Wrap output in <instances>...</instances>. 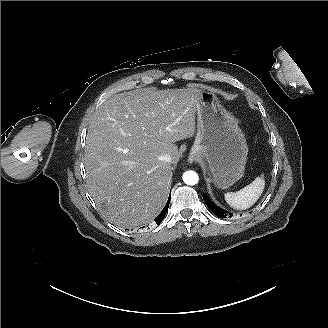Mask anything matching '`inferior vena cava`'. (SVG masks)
<instances>
[{"label":"inferior vena cava","instance_id":"obj_1","mask_svg":"<svg viewBox=\"0 0 328 328\" xmlns=\"http://www.w3.org/2000/svg\"><path fill=\"white\" fill-rule=\"evenodd\" d=\"M159 160L170 162L171 156L169 154L165 153V154L159 156Z\"/></svg>","mask_w":328,"mask_h":328}]
</instances>
